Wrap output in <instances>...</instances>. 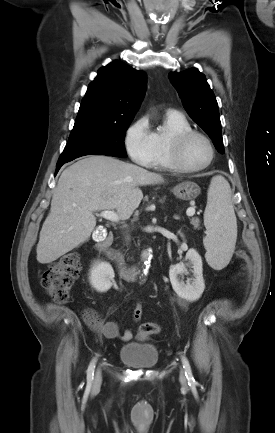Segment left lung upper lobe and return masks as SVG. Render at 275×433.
I'll return each instance as SVG.
<instances>
[{"instance_id": "obj_1", "label": "left lung upper lobe", "mask_w": 275, "mask_h": 433, "mask_svg": "<svg viewBox=\"0 0 275 433\" xmlns=\"http://www.w3.org/2000/svg\"><path fill=\"white\" fill-rule=\"evenodd\" d=\"M168 77L189 116L209 135L217 151L224 154L218 104L205 76L190 68Z\"/></svg>"}]
</instances>
